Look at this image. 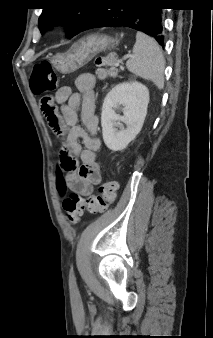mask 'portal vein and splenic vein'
<instances>
[{
    "mask_svg": "<svg viewBox=\"0 0 213 338\" xmlns=\"http://www.w3.org/2000/svg\"><path fill=\"white\" fill-rule=\"evenodd\" d=\"M129 58H132L131 54L125 55L123 59L126 60V59H129ZM116 66H119V64H116Z\"/></svg>",
    "mask_w": 213,
    "mask_h": 338,
    "instance_id": "18ae733b",
    "label": "portal vein and splenic vein"
}]
</instances>
